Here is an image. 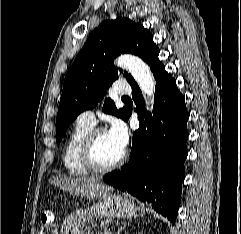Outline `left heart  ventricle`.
<instances>
[{"label":"left heart ventricle","mask_w":241,"mask_h":234,"mask_svg":"<svg viewBox=\"0 0 241 234\" xmlns=\"http://www.w3.org/2000/svg\"><path fill=\"white\" fill-rule=\"evenodd\" d=\"M123 151L108 132H102L97 136L95 145V157L99 164L110 165L116 162L123 154Z\"/></svg>","instance_id":"b2bd125f"}]
</instances>
